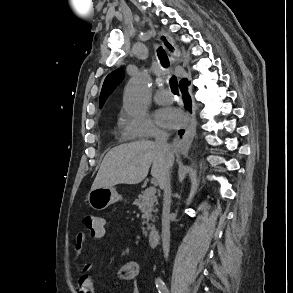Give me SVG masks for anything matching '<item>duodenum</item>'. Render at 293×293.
Returning a JSON list of instances; mask_svg holds the SVG:
<instances>
[{
    "instance_id": "duodenum-1",
    "label": "duodenum",
    "mask_w": 293,
    "mask_h": 293,
    "mask_svg": "<svg viewBox=\"0 0 293 293\" xmlns=\"http://www.w3.org/2000/svg\"><path fill=\"white\" fill-rule=\"evenodd\" d=\"M160 236H161L160 228L154 227L149 230L148 240H149V245L151 248L155 249L158 246L160 241Z\"/></svg>"
}]
</instances>
